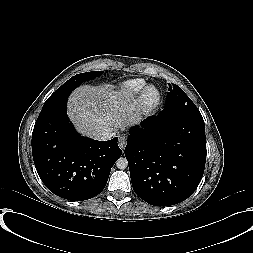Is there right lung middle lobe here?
I'll return each mask as SVG.
<instances>
[{
  "instance_id": "1",
  "label": "right lung middle lobe",
  "mask_w": 253,
  "mask_h": 253,
  "mask_svg": "<svg viewBox=\"0 0 253 253\" xmlns=\"http://www.w3.org/2000/svg\"><path fill=\"white\" fill-rule=\"evenodd\" d=\"M102 71H92L73 76L59 87L44 103L43 108L57 105L65 101L70 93L83 82L101 75Z\"/></svg>"
}]
</instances>
